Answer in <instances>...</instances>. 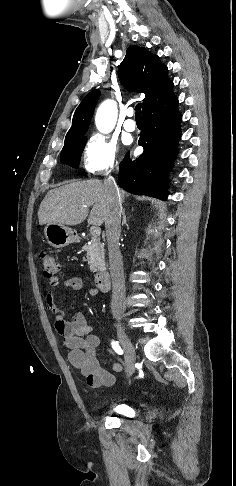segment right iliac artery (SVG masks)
<instances>
[{
	"label": "right iliac artery",
	"mask_w": 236,
	"mask_h": 486,
	"mask_svg": "<svg viewBox=\"0 0 236 486\" xmlns=\"http://www.w3.org/2000/svg\"><path fill=\"white\" fill-rule=\"evenodd\" d=\"M112 348L114 349V351L120 355L123 354V350L122 348L119 346L118 342L117 341H113L112 342Z\"/></svg>",
	"instance_id": "obj_1"
}]
</instances>
